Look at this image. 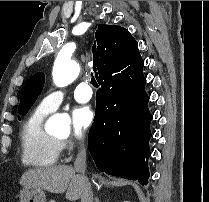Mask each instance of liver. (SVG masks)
<instances>
[{
	"label": "liver",
	"instance_id": "obj_1",
	"mask_svg": "<svg viewBox=\"0 0 209 202\" xmlns=\"http://www.w3.org/2000/svg\"><path fill=\"white\" fill-rule=\"evenodd\" d=\"M85 179L67 165L35 168L26 171L20 178V185L40 188L51 193L61 194L66 191V199H80Z\"/></svg>",
	"mask_w": 209,
	"mask_h": 202
}]
</instances>
